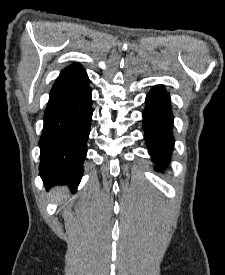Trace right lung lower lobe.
I'll return each instance as SVG.
<instances>
[{
	"mask_svg": "<svg viewBox=\"0 0 225 275\" xmlns=\"http://www.w3.org/2000/svg\"><path fill=\"white\" fill-rule=\"evenodd\" d=\"M89 79L51 89L39 141L40 175L45 185L75 190L83 175V161L92 119Z\"/></svg>",
	"mask_w": 225,
	"mask_h": 275,
	"instance_id": "98d812e1",
	"label": "right lung lower lobe"
}]
</instances>
